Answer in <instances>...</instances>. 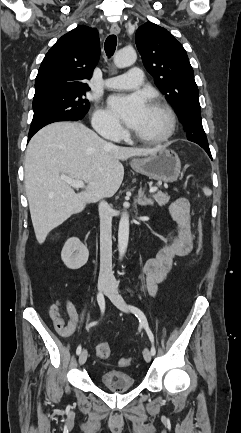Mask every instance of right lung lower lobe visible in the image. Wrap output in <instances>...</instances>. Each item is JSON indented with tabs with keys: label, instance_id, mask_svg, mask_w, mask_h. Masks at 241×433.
<instances>
[{
	"label": "right lung lower lobe",
	"instance_id": "right-lung-lower-lobe-1",
	"mask_svg": "<svg viewBox=\"0 0 241 433\" xmlns=\"http://www.w3.org/2000/svg\"><path fill=\"white\" fill-rule=\"evenodd\" d=\"M63 121H68V120H63ZM74 121H77V120H74ZM35 133H36V132L29 133L28 141L31 139V137H32Z\"/></svg>",
	"mask_w": 241,
	"mask_h": 433
}]
</instances>
